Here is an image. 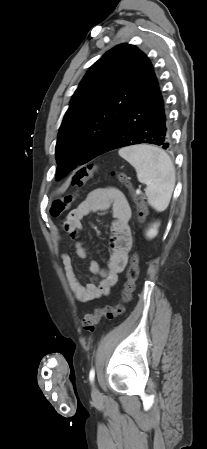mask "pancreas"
<instances>
[{
  "instance_id": "cf45deb5",
  "label": "pancreas",
  "mask_w": 207,
  "mask_h": 449,
  "mask_svg": "<svg viewBox=\"0 0 207 449\" xmlns=\"http://www.w3.org/2000/svg\"><path fill=\"white\" fill-rule=\"evenodd\" d=\"M133 197H136V194L133 193Z\"/></svg>"
}]
</instances>
